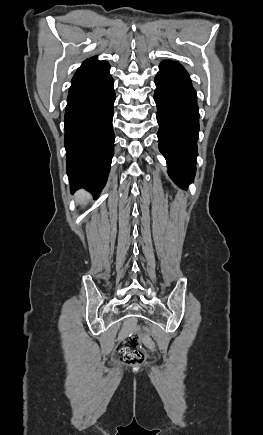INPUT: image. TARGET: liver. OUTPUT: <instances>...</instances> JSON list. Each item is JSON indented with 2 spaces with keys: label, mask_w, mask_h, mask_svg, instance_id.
Masks as SVG:
<instances>
[{
  "label": "liver",
  "mask_w": 263,
  "mask_h": 435,
  "mask_svg": "<svg viewBox=\"0 0 263 435\" xmlns=\"http://www.w3.org/2000/svg\"><path fill=\"white\" fill-rule=\"evenodd\" d=\"M76 199L78 203L86 204L89 199V195L85 191L80 190L76 195Z\"/></svg>",
  "instance_id": "obj_1"
}]
</instances>
